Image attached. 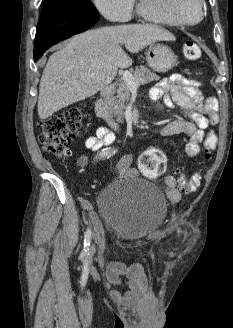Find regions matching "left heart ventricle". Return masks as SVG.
Here are the masks:
<instances>
[{"label":"left heart ventricle","mask_w":233,"mask_h":328,"mask_svg":"<svg viewBox=\"0 0 233 328\" xmlns=\"http://www.w3.org/2000/svg\"><path fill=\"white\" fill-rule=\"evenodd\" d=\"M169 11L177 18L195 21L200 16L199 0H164Z\"/></svg>","instance_id":"left-heart-ventricle-1"}]
</instances>
